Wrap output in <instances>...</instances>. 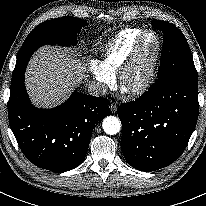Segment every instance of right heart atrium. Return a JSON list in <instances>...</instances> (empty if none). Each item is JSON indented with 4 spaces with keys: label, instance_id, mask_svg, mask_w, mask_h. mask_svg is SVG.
<instances>
[{
    "label": "right heart atrium",
    "instance_id": "obj_1",
    "mask_svg": "<svg viewBox=\"0 0 206 206\" xmlns=\"http://www.w3.org/2000/svg\"><path fill=\"white\" fill-rule=\"evenodd\" d=\"M89 68L99 92H104L106 88L113 85L114 77L109 75L97 62L92 61Z\"/></svg>",
    "mask_w": 206,
    "mask_h": 206
}]
</instances>
